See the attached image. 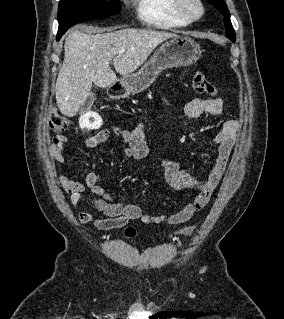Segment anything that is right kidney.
<instances>
[{"label": "right kidney", "mask_w": 284, "mask_h": 319, "mask_svg": "<svg viewBox=\"0 0 284 319\" xmlns=\"http://www.w3.org/2000/svg\"><path fill=\"white\" fill-rule=\"evenodd\" d=\"M79 125L81 129H98L102 125V119L96 112L88 111L80 116Z\"/></svg>", "instance_id": "obj_1"}]
</instances>
